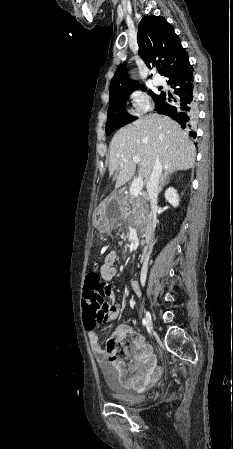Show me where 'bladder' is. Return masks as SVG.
<instances>
[{"instance_id": "obj_1", "label": "bladder", "mask_w": 233, "mask_h": 449, "mask_svg": "<svg viewBox=\"0 0 233 449\" xmlns=\"http://www.w3.org/2000/svg\"><path fill=\"white\" fill-rule=\"evenodd\" d=\"M108 387L111 397L122 405L132 406L141 402V396L139 394L134 393L117 382H113L112 379H109Z\"/></svg>"}]
</instances>
